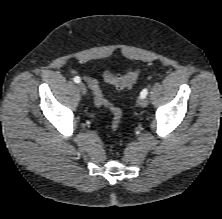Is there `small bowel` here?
<instances>
[{
    "label": "small bowel",
    "instance_id": "1",
    "mask_svg": "<svg viewBox=\"0 0 222 219\" xmlns=\"http://www.w3.org/2000/svg\"><path fill=\"white\" fill-rule=\"evenodd\" d=\"M86 80H87V83L89 84V86L91 85V84H97V81L95 80V79H92V78H86Z\"/></svg>",
    "mask_w": 222,
    "mask_h": 219
}]
</instances>
